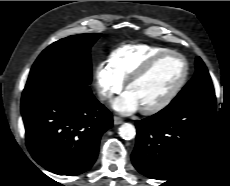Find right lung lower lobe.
<instances>
[{
  "instance_id": "1",
  "label": "right lung lower lobe",
  "mask_w": 230,
  "mask_h": 186,
  "mask_svg": "<svg viewBox=\"0 0 230 186\" xmlns=\"http://www.w3.org/2000/svg\"><path fill=\"white\" fill-rule=\"evenodd\" d=\"M26 144L45 169L74 176L88 170L98 155L111 113L88 86L58 74L27 83L21 99Z\"/></svg>"
}]
</instances>
